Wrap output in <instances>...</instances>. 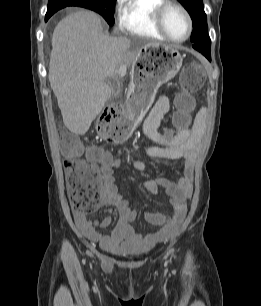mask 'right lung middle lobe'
<instances>
[{
	"instance_id": "1",
	"label": "right lung middle lobe",
	"mask_w": 261,
	"mask_h": 306,
	"mask_svg": "<svg viewBox=\"0 0 261 306\" xmlns=\"http://www.w3.org/2000/svg\"><path fill=\"white\" fill-rule=\"evenodd\" d=\"M116 0H55L48 1V8L46 14H54L56 11L67 6H79L91 9L104 17L109 25L114 24V4Z\"/></svg>"
}]
</instances>
